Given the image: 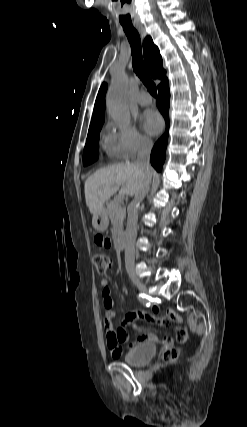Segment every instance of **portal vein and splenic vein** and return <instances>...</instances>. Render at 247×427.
Listing matches in <instances>:
<instances>
[{"instance_id": "portal-vein-and-splenic-vein-1", "label": "portal vein and splenic vein", "mask_w": 247, "mask_h": 427, "mask_svg": "<svg viewBox=\"0 0 247 427\" xmlns=\"http://www.w3.org/2000/svg\"><path fill=\"white\" fill-rule=\"evenodd\" d=\"M125 194H126L125 192H122V191H121V192L119 193V195L115 197V200H116V201H122V200H123V198H124V196H125Z\"/></svg>"}]
</instances>
